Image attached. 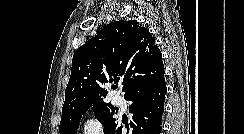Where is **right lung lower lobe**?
Returning <instances> with one entry per match:
<instances>
[{
  "mask_svg": "<svg viewBox=\"0 0 244 134\" xmlns=\"http://www.w3.org/2000/svg\"><path fill=\"white\" fill-rule=\"evenodd\" d=\"M166 92L163 76L156 82L127 95L125 99L132 101L129 111L133 117L130 123L128 124L123 119H115L105 134H160Z\"/></svg>",
  "mask_w": 244,
  "mask_h": 134,
  "instance_id": "obj_1",
  "label": "right lung lower lobe"
}]
</instances>
